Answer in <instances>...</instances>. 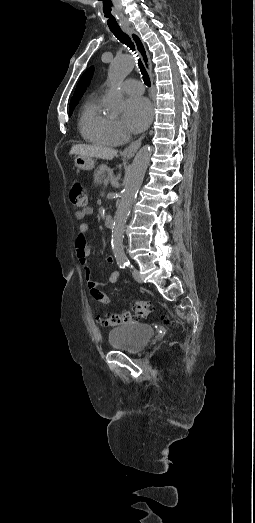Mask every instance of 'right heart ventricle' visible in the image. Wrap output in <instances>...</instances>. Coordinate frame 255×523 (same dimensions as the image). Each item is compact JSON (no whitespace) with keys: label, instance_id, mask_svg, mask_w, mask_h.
Masks as SVG:
<instances>
[{"label":"right heart ventricle","instance_id":"right-heart-ventricle-1","mask_svg":"<svg viewBox=\"0 0 255 523\" xmlns=\"http://www.w3.org/2000/svg\"><path fill=\"white\" fill-rule=\"evenodd\" d=\"M102 97L88 100L80 118V133L83 139L97 146H112L119 142V133L112 117L102 109Z\"/></svg>","mask_w":255,"mask_h":523}]
</instances>
